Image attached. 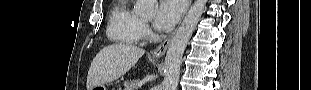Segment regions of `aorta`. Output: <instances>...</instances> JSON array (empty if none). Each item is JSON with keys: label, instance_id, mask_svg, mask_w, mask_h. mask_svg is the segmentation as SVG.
<instances>
[{"label": "aorta", "instance_id": "1", "mask_svg": "<svg viewBox=\"0 0 311 90\" xmlns=\"http://www.w3.org/2000/svg\"><path fill=\"white\" fill-rule=\"evenodd\" d=\"M207 0H195L180 27L171 40L164 62L165 77L162 90H176L180 77V67L186 46L202 16ZM157 0H137L135 12L144 17H152Z\"/></svg>", "mask_w": 311, "mask_h": 90}]
</instances>
